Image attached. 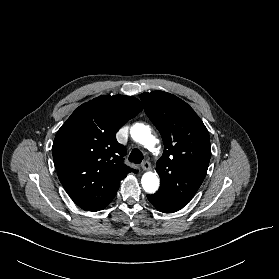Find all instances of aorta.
Instances as JSON below:
<instances>
[{
  "mask_svg": "<svg viewBox=\"0 0 279 279\" xmlns=\"http://www.w3.org/2000/svg\"><path fill=\"white\" fill-rule=\"evenodd\" d=\"M131 137L134 141L144 145L146 148L153 147L155 143V137L151 133V129L141 123L133 125L130 129ZM143 189L147 193H155L160 184L159 177L154 172H146L141 179Z\"/></svg>",
  "mask_w": 279,
  "mask_h": 279,
  "instance_id": "obj_1",
  "label": "aorta"
}]
</instances>
